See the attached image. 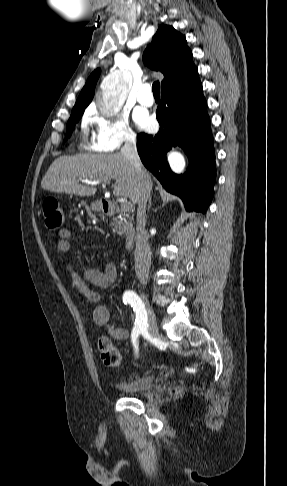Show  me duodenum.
<instances>
[{
	"instance_id": "obj_1",
	"label": "duodenum",
	"mask_w": 287,
	"mask_h": 486,
	"mask_svg": "<svg viewBox=\"0 0 287 486\" xmlns=\"http://www.w3.org/2000/svg\"><path fill=\"white\" fill-rule=\"evenodd\" d=\"M100 208H101L102 212L106 215L112 216V215L115 214L114 205L106 199H102L100 201ZM135 239H136V234H135L134 230L130 229V230H127L125 232V247H126V249H131L133 247Z\"/></svg>"
}]
</instances>
